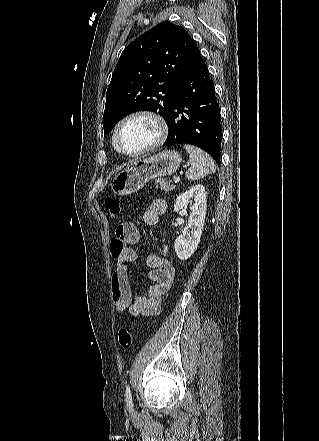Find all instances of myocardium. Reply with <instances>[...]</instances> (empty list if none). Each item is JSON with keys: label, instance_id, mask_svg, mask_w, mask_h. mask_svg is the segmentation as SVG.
<instances>
[{"label": "myocardium", "instance_id": "f54148a6", "mask_svg": "<svg viewBox=\"0 0 319 441\" xmlns=\"http://www.w3.org/2000/svg\"><path fill=\"white\" fill-rule=\"evenodd\" d=\"M134 119H146L152 122L156 129V136L155 139L144 148L135 152H127L120 145L119 134L123 126L129 121ZM167 134H168L167 123L160 114L151 110H138L126 115L124 118H122L119 121L114 131L113 144L115 149L122 155L127 157H139L160 147L166 140Z\"/></svg>", "mask_w": 319, "mask_h": 441}]
</instances>
